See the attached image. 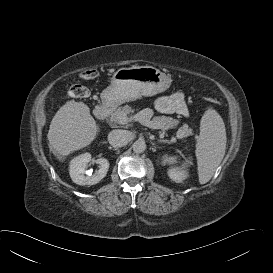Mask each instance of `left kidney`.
I'll return each mask as SVG.
<instances>
[{"instance_id":"obj_1","label":"left kidney","mask_w":273,"mask_h":273,"mask_svg":"<svg viewBox=\"0 0 273 273\" xmlns=\"http://www.w3.org/2000/svg\"><path fill=\"white\" fill-rule=\"evenodd\" d=\"M168 176L170 177V179H172L173 181L180 183L182 182L185 178H187L188 174L186 171L184 170H180L177 168H172L168 170Z\"/></svg>"}]
</instances>
